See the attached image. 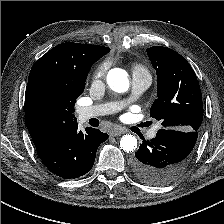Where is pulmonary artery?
Returning a JSON list of instances; mask_svg holds the SVG:
<instances>
[{
	"instance_id": "pulmonary-artery-1",
	"label": "pulmonary artery",
	"mask_w": 224,
	"mask_h": 224,
	"mask_svg": "<svg viewBox=\"0 0 224 224\" xmlns=\"http://www.w3.org/2000/svg\"><path fill=\"white\" fill-rule=\"evenodd\" d=\"M151 78L145 73H138L133 75L132 80V94L129 98V102L136 100L140 97L150 86ZM122 104L120 103H109V104H99L89 107L80 108L78 111V119L80 122H85L90 118L109 114L120 109ZM156 135V130L152 129L148 136L149 138H154Z\"/></svg>"
}]
</instances>
